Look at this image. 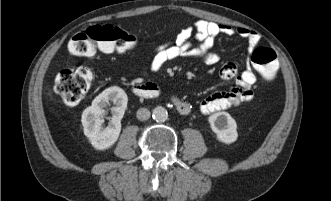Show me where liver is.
Segmentation results:
<instances>
[{
	"label": "liver",
	"instance_id": "6515ba94",
	"mask_svg": "<svg viewBox=\"0 0 331 201\" xmlns=\"http://www.w3.org/2000/svg\"><path fill=\"white\" fill-rule=\"evenodd\" d=\"M48 94H49V96L52 98V94H51L50 92H49Z\"/></svg>",
	"mask_w": 331,
	"mask_h": 201
}]
</instances>
